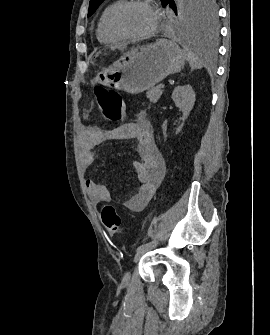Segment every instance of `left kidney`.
Masks as SVG:
<instances>
[{
	"label": "left kidney",
	"instance_id": "5707ae66",
	"mask_svg": "<svg viewBox=\"0 0 270 335\" xmlns=\"http://www.w3.org/2000/svg\"><path fill=\"white\" fill-rule=\"evenodd\" d=\"M172 100L175 106H177V108H180V112H183L182 120L183 122H185L195 102V92H193L192 86L186 84V86H177V88H174ZM183 126L184 124H181V126L177 128L176 134H179V132H181Z\"/></svg>",
	"mask_w": 270,
	"mask_h": 335
}]
</instances>
